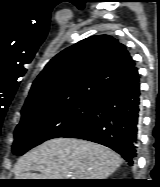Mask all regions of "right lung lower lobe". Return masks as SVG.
Returning a JSON list of instances; mask_svg holds the SVG:
<instances>
[{
  "label": "right lung lower lobe",
  "mask_w": 160,
  "mask_h": 187,
  "mask_svg": "<svg viewBox=\"0 0 160 187\" xmlns=\"http://www.w3.org/2000/svg\"><path fill=\"white\" fill-rule=\"evenodd\" d=\"M140 80L136 67L121 77L99 99L93 114L63 135L105 145L133 166L140 125Z\"/></svg>",
  "instance_id": "98d812e1"
}]
</instances>
